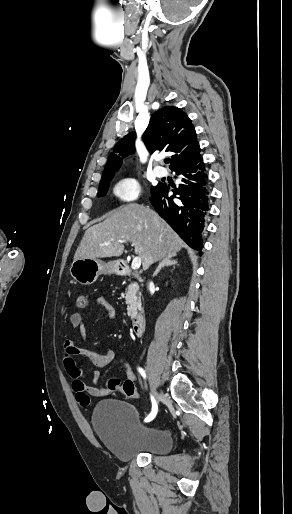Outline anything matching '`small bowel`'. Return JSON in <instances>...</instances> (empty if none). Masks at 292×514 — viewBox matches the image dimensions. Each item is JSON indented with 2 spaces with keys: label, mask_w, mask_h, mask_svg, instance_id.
I'll use <instances>...</instances> for the list:
<instances>
[{
  "label": "small bowel",
  "mask_w": 292,
  "mask_h": 514,
  "mask_svg": "<svg viewBox=\"0 0 292 514\" xmlns=\"http://www.w3.org/2000/svg\"><path fill=\"white\" fill-rule=\"evenodd\" d=\"M95 304L102 307L105 311L106 317L108 319H115L117 316V312L115 307L103 296H99L95 299ZM70 325L74 329H80L83 337H85V330L83 324V317L80 313H73L69 318ZM63 350V366L71 378V386L73 391L76 393V398L78 403L87 407L90 404L91 398H101L105 397L110 393L109 388L104 387L100 384V375L96 372L89 371L83 372L79 369L76 364L75 358L76 356H82L90 363L98 367L108 366L115 359V355L113 351L110 349H106L103 354L95 353L89 349L79 347L74 340L66 339L62 344ZM119 364L124 370L125 381L132 383L136 379V375L133 372L128 360L124 357L118 359ZM87 376L92 379L96 384L95 385H87L83 381V377ZM134 385V384H133ZM111 397L117 396V393L111 392ZM119 401H128V396H119Z\"/></svg>",
  "instance_id": "c3829d8e"
}]
</instances>
